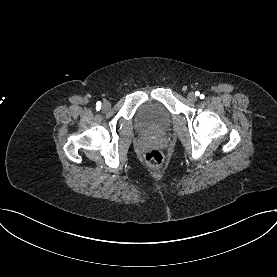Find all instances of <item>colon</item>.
Wrapping results in <instances>:
<instances>
[{"label": "colon", "mask_w": 277, "mask_h": 277, "mask_svg": "<svg viewBox=\"0 0 277 277\" xmlns=\"http://www.w3.org/2000/svg\"><path fill=\"white\" fill-rule=\"evenodd\" d=\"M145 162L153 168H160L165 162L164 154L159 150H150L144 156Z\"/></svg>", "instance_id": "obj_1"}]
</instances>
